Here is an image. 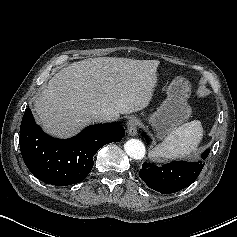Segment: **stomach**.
Listing matches in <instances>:
<instances>
[{"instance_id": "obj_1", "label": "stomach", "mask_w": 237, "mask_h": 237, "mask_svg": "<svg viewBox=\"0 0 237 237\" xmlns=\"http://www.w3.org/2000/svg\"><path fill=\"white\" fill-rule=\"evenodd\" d=\"M166 92L167 98L148 118L156 136L160 139L186 122L192 113V109L187 103L191 92L188 80L183 77H176Z\"/></svg>"}]
</instances>
